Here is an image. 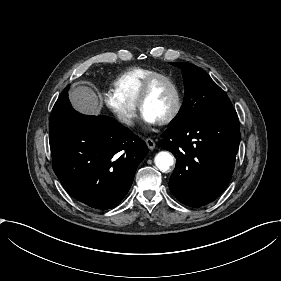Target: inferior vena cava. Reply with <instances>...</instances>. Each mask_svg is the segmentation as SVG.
Listing matches in <instances>:
<instances>
[{"instance_id":"inferior-vena-cava-1","label":"inferior vena cava","mask_w":281,"mask_h":281,"mask_svg":"<svg viewBox=\"0 0 281 281\" xmlns=\"http://www.w3.org/2000/svg\"><path fill=\"white\" fill-rule=\"evenodd\" d=\"M118 117L123 123L127 125L131 126L133 124V120L131 118L126 117L125 115H119Z\"/></svg>"}]
</instances>
